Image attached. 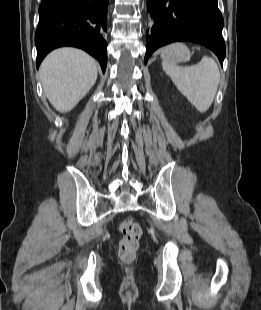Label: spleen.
<instances>
[{"label":"spleen","mask_w":261,"mask_h":310,"mask_svg":"<svg viewBox=\"0 0 261 310\" xmlns=\"http://www.w3.org/2000/svg\"><path fill=\"white\" fill-rule=\"evenodd\" d=\"M161 58L163 70L177 89L200 113L206 112L213 103L220 81L217 63L204 56L196 65L181 67Z\"/></svg>","instance_id":"obj_1"}]
</instances>
